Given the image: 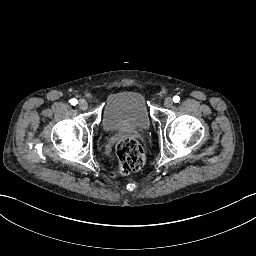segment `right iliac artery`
<instances>
[{
    "mask_svg": "<svg viewBox=\"0 0 256 256\" xmlns=\"http://www.w3.org/2000/svg\"><path fill=\"white\" fill-rule=\"evenodd\" d=\"M70 103H71V105L75 106V105H77L78 101L75 98H73L70 100Z\"/></svg>",
    "mask_w": 256,
    "mask_h": 256,
    "instance_id": "1",
    "label": "right iliac artery"
}]
</instances>
